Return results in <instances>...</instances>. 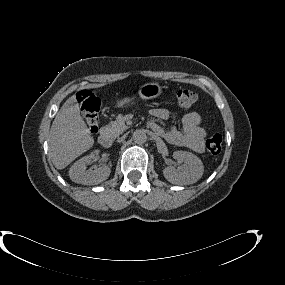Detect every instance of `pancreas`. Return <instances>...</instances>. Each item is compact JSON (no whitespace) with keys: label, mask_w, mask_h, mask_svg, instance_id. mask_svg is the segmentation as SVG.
Returning <instances> with one entry per match:
<instances>
[{"label":"pancreas","mask_w":285,"mask_h":285,"mask_svg":"<svg viewBox=\"0 0 285 285\" xmlns=\"http://www.w3.org/2000/svg\"><path fill=\"white\" fill-rule=\"evenodd\" d=\"M126 129L127 126L125 125L124 116L122 115H118L115 121L110 122L104 127V130L114 138L119 136Z\"/></svg>","instance_id":"obj_1"}]
</instances>
